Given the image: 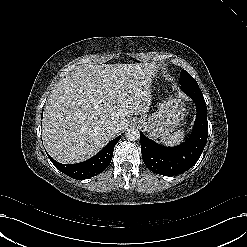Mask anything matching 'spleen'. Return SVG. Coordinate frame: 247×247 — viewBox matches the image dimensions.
Here are the masks:
<instances>
[{"label": "spleen", "mask_w": 247, "mask_h": 247, "mask_svg": "<svg viewBox=\"0 0 247 247\" xmlns=\"http://www.w3.org/2000/svg\"><path fill=\"white\" fill-rule=\"evenodd\" d=\"M185 137V133L183 130H178L174 132L172 135H168L160 140L162 144L168 146H174L180 144Z\"/></svg>", "instance_id": "obj_1"}]
</instances>
